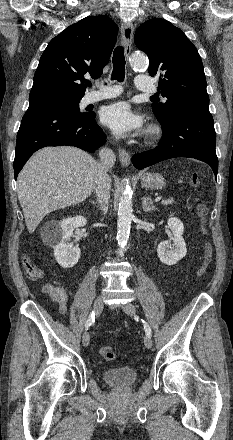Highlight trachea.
Instances as JSON below:
<instances>
[{"instance_id": "obj_1", "label": "trachea", "mask_w": 233, "mask_h": 440, "mask_svg": "<svg viewBox=\"0 0 233 440\" xmlns=\"http://www.w3.org/2000/svg\"><path fill=\"white\" fill-rule=\"evenodd\" d=\"M112 62H113L112 79L117 80L118 82H123L125 77V64H126L123 47L118 46L114 50ZM87 85L91 86V82H88Z\"/></svg>"}]
</instances>
